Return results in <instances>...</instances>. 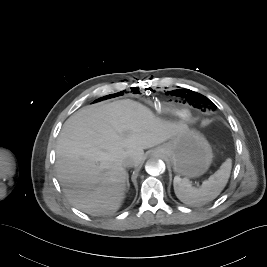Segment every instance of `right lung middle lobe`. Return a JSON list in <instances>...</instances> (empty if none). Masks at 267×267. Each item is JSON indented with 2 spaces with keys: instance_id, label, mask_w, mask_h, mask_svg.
<instances>
[{
  "instance_id": "right-lung-middle-lobe-1",
  "label": "right lung middle lobe",
  "mask_w": 267,
  "mask_h": 267,
  "mask_svg": "<svg viewBox=\"0 0 267 267\" xmlns=\"http://www.w3.org/2000/svg\"><path fill=\"white\" fill-rule=\"evenodd\" d=\"M122 94V92H119V93H116V94H111V95H107V96H105L104 98H100V99H98L97 101H99V100H102V99H107V98H111V97H115V96H119V95H121Z\"/></svg>"
}]
</instances>
